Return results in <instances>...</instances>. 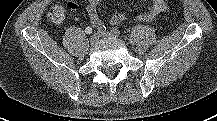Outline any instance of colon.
I'll list each match as a JSON object with an SVG mask.
<instances>
[{"label":"colon","mask_w":217,"mask_h":121,"mask_svg":"<svg viewBox=\"0 0 217 121\" xmlns=\"http://www.w3.org/2000/svg\"><path fill=\"white\" fill-rule=\"evenodd\" d=\"M67 17V9L62 4L53 5L48 11L49 20L55 25H61Z\"/></svg>","instance_id":"1"}]
</instances>
